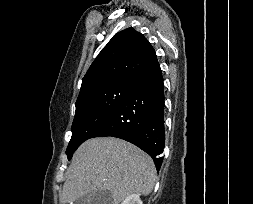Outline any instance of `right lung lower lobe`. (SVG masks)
Returning a JSON list of instances; mask_svg holds the SVG:
<instances>
[{"label":"right lung lower lobe","mask_w":253,"mask_h":204,"mask_svg":"<svg viewBox=\"0 0 253 204\" xmlns=\"http://www.w3.org/2000/svg\"><path fill=\"white\" fill-rule=\"evenodd\" d=\"M112 136L148 153L160 169L165 143L164 84L157 63L134 82L128 95L93 137Z\"/></svg>","instance_id":"obj_1"}]
</instances>
